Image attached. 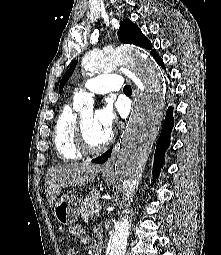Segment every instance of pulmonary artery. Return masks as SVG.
Wrapping results in <instances>:
<instances>
[{"mask_svg":"<svg viewBox=\"0 0 221 255\" xmlns=\"http://www.w3.org/2000/svg\"><path fill=\"white\" fill-rule=\"evenodd\" d=\"M122 78L117 74H102L87 80L82 90L95 94H106L111 91H119L122 88Z\"/></svg>","mask_w":221,"mask_h":255,"instance_id":"1","label":"pulmonary artery"}]
</instances>
